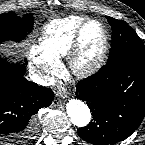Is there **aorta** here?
Here are the masks:
<instances>
[{
	"instance_id": "aorta-1",
	"label": "aorta",
	"mask_w": 145,
	"mask_h": 145,
	"mask_svg": "<svg viewBox=\"0 0 145 145\" xmlns=\"http://www.w3.org/2000/svg\"><path fill=\"white\" fill-rule=\"evenodd\" d=\"M67 114L71 122L78 127L88 125L91 120V113L88 106L77 99H71L66 105Z\"/></svg>"
}]
</instances>
